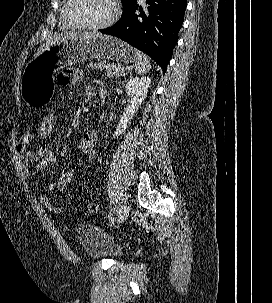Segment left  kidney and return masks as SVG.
Listing matches in <instances>:
<instances>
[{
  "label": "left kidney",
  "instance_id": "1",
  "mask_svg": "<svg viewBox=\"0 0 272 303\" xmlns=\"http://www.w3.org/2000/svg\"><path fill=\"white\" fill-rule=\"evenodd\" d=\"M151 82L149 77H132L126 83V93L131 98L130 104L124 109L118 125L116 127L114 138L121 135L130 124L139 109V106L147 96L148 87Z\"/></svg>",
  "mask_w": 272,
  "mask_h": 303
}]
</instances>
